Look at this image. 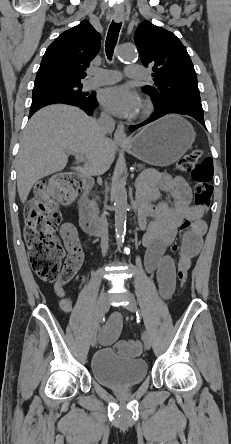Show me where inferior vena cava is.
Instances as JSON below:
<instances>
[{
    "label": "inferior vena cava",
    "mask_w": 231,
    "mask_h": 444,
    "mask_svg": "<svg viewBox=\"0 0 231 444\" xmlns=\"http://www.w3.org/2000/svg\"><path fill=\"white\" fill-rule=\"evenodd\" d=\"M98 126H99V130H100L102 136L106 137V134L111 133L114 130L115 122L111 116H109L105 113H102L99 120H98ZM105 171H106V168L102 165H98L93 168L94 175H101ZM98 212L101 214L99 217L101 222L99 223L100 226L98 228L100 230H103V231H101V236H103V238H102L103 247L106 248L107 247V236L110 234L109 232L112 231V228L109 226L111 220L108 217V213L105 212L104 209H100Z\"/></svg>",
    "instance_id": "inferior-vena-cava-1"
}]
</instances>
